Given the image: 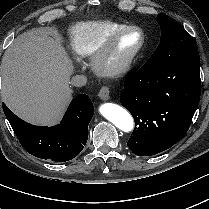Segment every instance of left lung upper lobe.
<instances>
[{"label": "left lung upper lobe", "mask_w": 209, "mask_h": 209, "mask_svg": "<svg viewBox=\"0 0 209 209\" xmlns=\"http://www.w3.org/2000/svg\"><path fill=\"white\" fill-rule=\"evenodd\" d=\"M157 21L161 27V41L146 65L163 66L198 53L193 39L176 20L167 15H159Z\"/></svg>", "instance_id": "left-lung-upper-lobe-1"}]
</instances>
